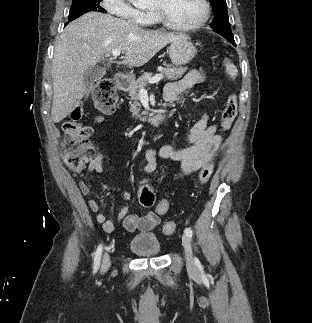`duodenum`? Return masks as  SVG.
Returning a JSON list of instances; mask_svg holds the SVG:
<instances>
[{
    "label": "duodenum",
    "instance_id": "1",
    "mask_svg": "<svg viewBox=\"0 0 312 323\" xmlns=\"http://www.w3.org/2000/svg\"><path fill=\"white\" fill-rule=\"evenodd\" d=\"M115 82L120 90H125L129 87L131 76L126 73H118L115 77ZM168 120V114L165 110L159 111L143 120V124L149 128L157 129L163 126Z\"/></svg>",
    "mask_w": 312,
    "mask_h": 323
}]
</instances>
